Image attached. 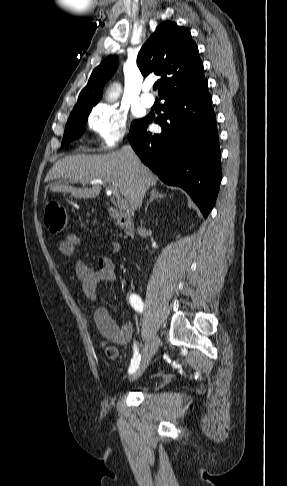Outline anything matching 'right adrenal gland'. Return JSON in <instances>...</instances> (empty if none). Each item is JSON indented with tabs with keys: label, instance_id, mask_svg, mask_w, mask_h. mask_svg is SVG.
Returning a JSON list of instances; mask_svg holds the SVG:
<instances>
[{
	"label": "right adrenal gland",
	"instance_id": "1",
	"mask_svg": "<svg viewBox=\"0 0 287 486\" xmlns=\"http://www.w3.org/2000/svg\"><path fill=\"white\" fill-rule=\"evenodd\" d=\"M166 197V194H163L161 192H159L156 188L152 189L151 190V193H150V199L149 201L147 202L146 204V207H145V211H147L148 209V206L149 204L154 200V199H158V198H164Z\"/></svg>",
	"mask_w": 287,
	"mask_h": 486
}]
</instances>
